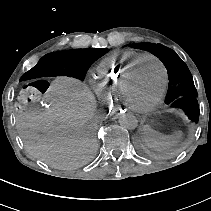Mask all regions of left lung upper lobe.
Segmentation results:
<instances>
[{"label": "left lung upper lobe", "mask_w": 211, "mask_h": 211, "mask_svg": "<svg viewBox=\"0 0 211 211\" xmlns=\"http://www.w3.org/2000/svg\"><path fill=\"white\" fill-rule=\"evenodd\" d=\"M129 46L147 50L164 63L169 79L165 103L182 109L190 120L197 123L199 120V105L196 99L198 94L193 77L181 58L172 49L161 44L136 43Z\"/></svg>", "instance_id": "1"}]
</instances>
